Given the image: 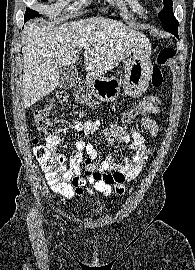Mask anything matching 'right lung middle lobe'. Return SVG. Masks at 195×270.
Here are the masks:
<instances>
[{"label": "right lung middle lobe", "mask_w": 195, "mask_h": 270, "mask_svg": "<svg viewBox=\"0 0 195 270\" xmlns=\"http://www.w3.org/2000/svg\"><path fill=\"white\" fill-rule=\"evenodd\" d=\"M29 13L30 14H36L37 17L40 16V14H38V12H36L34 10H31V9H27L25 14H29Z\"/></svg>", "instance_id": "dd1d6c3e"}]
</instances>
